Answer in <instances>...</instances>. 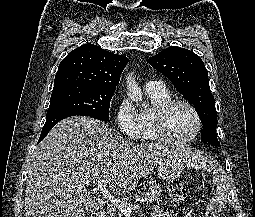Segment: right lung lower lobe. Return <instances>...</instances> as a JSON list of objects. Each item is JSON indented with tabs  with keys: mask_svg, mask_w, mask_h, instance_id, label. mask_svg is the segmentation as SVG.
<instances>
[{
	"mask_svg": "<svg viewBox=\"0 0 255 217\" xmlns=\"http://www.w3.org/2000/svg\"><path fill=\"white\" fill-rule=\"evenodd\" d=\"M78 114L71 113V112H58L55 114H52L50 116H46V122L43 126L40 138L38 140V144L45 138V136L48 134V132L61 120L71 117V116H76Z\"/></svg>",
	"mask_w": 255,
	"mask_h": 217,
	"instance_id": "obj_1",
	"label": "right lung lower lobe"
}]
</instances>
